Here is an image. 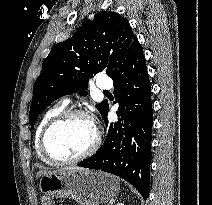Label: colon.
<instances>
[{
    "label": "colon",
    "instance_id": "obj_1",
    "mask_svg": "<svg viewBox=\"0 0 212 205\" xmlns=\"http://www.w3.org/2000/svg\"><path fill=\"white\" fill-rule=\"evenodd\" d=\"M41 205H53V202L49 196H43L41 199Z\"/></svg>",
    "mask_w": 212,
    "mask_h": 205
}]
</instances>
